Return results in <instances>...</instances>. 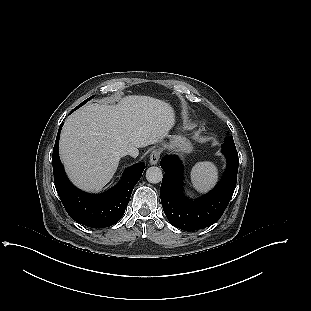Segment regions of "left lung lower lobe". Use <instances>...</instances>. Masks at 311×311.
<instances>
[{"label":"left lung lower lobe","instance_id":"left-lung-lower-lobe-1","mask_svg":"<svg viewBox=\"0 0 311 311\" xmlns=\"http://www.w3.org/2000/svg\"><path fill=\"white\" fill-rule=\"evenodd\" d=\"M227 167L218 185L195 201L182 193L183 165L177 156H164L160 162L165 171L160 188L162 207L169 222L185 231L202 229L217 222L225 211L236 187L239 165L237 151L222 149Z\"/></svg>","mask_w":311,"mask_h":311}]
</instances>
